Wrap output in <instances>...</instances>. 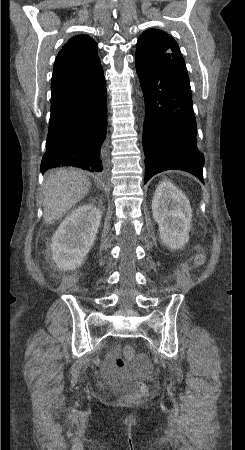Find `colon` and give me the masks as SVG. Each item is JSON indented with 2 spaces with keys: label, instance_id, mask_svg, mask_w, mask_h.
<instances>
[{
  "label": "colon",
  "instance_id": "obj_1",
  "mask_svg": "<svg viewBox=\"0 0 245 450\" xmlns=\"http://www.w3.org/2000/svg\"><path fill=\"white\" fill-rule=\"evenodd\" d=\"M196 263L202 262V257L195 258ZM134 357V350L131 346L125 345L116 357L115 364L118 368H125L129 361ZM149 389L146 384L142 382H134L130 385L128 397L133 400H144L148 397Z\"/></svg>",
  "mask_w": 245,
  "mask_h": 450
}]
</instances>
